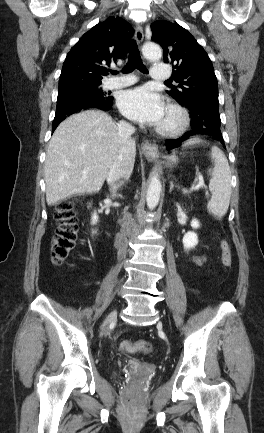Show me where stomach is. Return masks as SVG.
<instances>
[{
    "instance_id": "stomach-1",
    "label": "stomach",
    "mask_w": 264,
    "mask_h": 433,
    "mask_svg": "<svg viewBox=\"0 0 264 433\" xmlns=\"http://www.w3.org/2000/svg\"><path fill=\"white\" fill-rule=\"evenodd\" d=\"M177 162H178V157L175 154H172V155L166 157L165 164L168 167H174V165H176Z\"/></svg>"
}]
</instances>
